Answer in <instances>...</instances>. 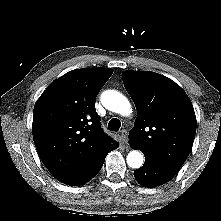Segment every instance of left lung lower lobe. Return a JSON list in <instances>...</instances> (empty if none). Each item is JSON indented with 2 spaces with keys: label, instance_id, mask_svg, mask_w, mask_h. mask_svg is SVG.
Instances as JSON below:
<instances>
[{
  "label": "left lung lower lobe",
  "instance_id": "1",
  "mask_svg": "<svg viewBox=\"0 0 221 221\" xmlns=\"http://www.w3.org/2000/svg\"><path fill=\"white\" fill-rule=\"evenodd\" d=\"M178 169L160 164L149 156H145V163L134 171L137 182L144 187H156L170 181Z\"/></svg>",
  "mask_w": 221,
  "mask_h": 221
}]
</instances>
